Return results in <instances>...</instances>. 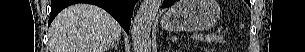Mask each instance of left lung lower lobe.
Masks as SVG:
<instances>
[{
  "label": "left lung lower lobe",
  "mask_w": 305,
  "mask_h": 52,
  "mask_svg": "<svg viewBox=\"0 0 305 52\" xmlns=\"http://www.w3.org/2000/svg\"><path fill=\"white\" fill-rule=\"evenodd\" d=\"M176 0H164L163 7H169L172 5Z\"/></svg>",
  "instance_id": "left-lung-lower-lobe-1"
}]
</instances>
